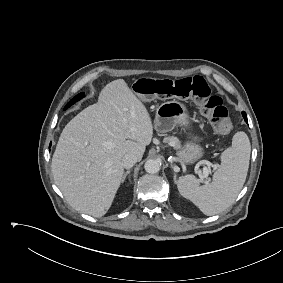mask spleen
I'll return each mask as SVG.
<instances>
[{
  "mask_svg": "<svg viewBox=\"0 0 283 283\" xmlns=\"http://www.w3.org/2000/svg\"><path fill=\"white\" fill-rule=\"evenodd\" d=\"M250 152L248 136L237 132L233 136L232 146L223 151L221 164L212 182L200 186L194 175L181 176L177 181L179 193L207 216L224 211L232 205L245 183Z\"/></svg>",
  "mask_w": 283,
  "mask_h": 283,
  "instance_id": "1",
  "label": "spleen"
}]
</instances>
